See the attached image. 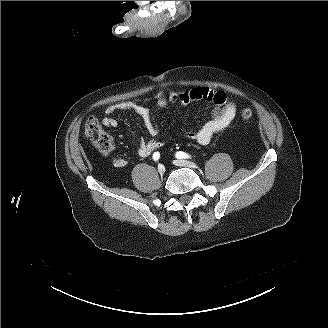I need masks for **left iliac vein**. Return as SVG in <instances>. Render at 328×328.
Masks as SVG:
<instances>
[{"label": "left iliac vein", "mask_w": 328, "mask_h": 328, "mask_svg": "<svg viewBox=\"0 0 328 328\" xmlns=\"http://www.w3.org/2000/svg\"><path fill=\"white\" fill-rule=\"evenodd\" d=\"M174 164L176 166H180V167H183V166L196 167L197 166L194 162L187 161V160H175Z\"/></svg>", "instance_id": "1"}]
</instances>
